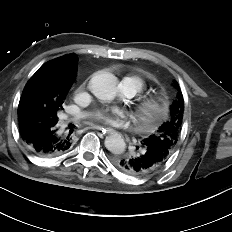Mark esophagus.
<instances>
[{
	"label": "esophagus",
	"instance_id": "34e87169",
	"mask_svg": "<svg viewBox=\"0 0 232 232\" xmlns=\"http://www.w3.org/2000/svg\"><path fill=\"white\" fill-rule=\"evenodd\" d=\"M93 129L102 132V134H108V133H110L112 131V129L104 128V127H101V126H94Z\"/></svg>",
	"mask_w": 232,
	"mask_h": 232
}]
</instances>
